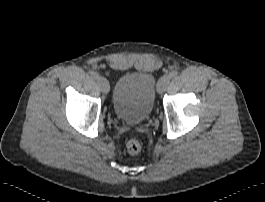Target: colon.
<instances>
[{"instance_id":"colon-1","label":"colon","mask_w":265,"mask_h":202,"mask_svg":"<svg viewBox=\"0 0 265 202\" xmlns=\"http://www.w3.org/2000/svg\"><path fill=\"white\" fill-rule=\"evenodd\" d=\"M126 149L132 155L138 154L141 151V143L137 138H130L126 142Z\"/></svg>"}]
</instances>
